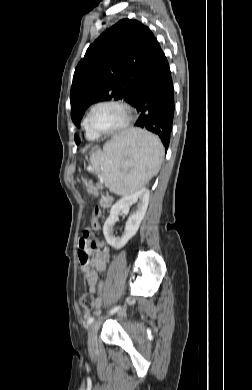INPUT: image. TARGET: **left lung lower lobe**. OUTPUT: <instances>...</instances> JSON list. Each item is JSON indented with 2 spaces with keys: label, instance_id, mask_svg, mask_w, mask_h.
Masks as SVG:
<instances>
[{
  "label": "left lung lower lobe",
  "instance_id": "obj_1",
  "mask_svg": "<svg viewBox=\"0 0 252 390\" xmlns=\"http://www.w3.org/2000/svg\"><path fill=\"white\" fill-rule=\"evenodd\" d=\"M130 104L139 113L135 126L157 134L167 150L174 117V87L163 52L141 79Z\"/></svg>",
  "mask_w": 252,
  "mask_h": 390
}]
</instances>
